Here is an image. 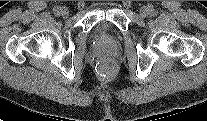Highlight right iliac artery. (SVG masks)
<instances>
[{
    "mask_svg": "<svg viewBox=\"0 0 207 121\" xmlns=\"http://www.w3.org/2000/svg\"><path fill=\"white\" fill-rule=\"evenodd\" d=\"M60 10H61V7H55L54 10H53L54 14L57 15V16L60 15Z\"/></svg>",
    "mask_w": 207,
    "mask_h": 121,
    "instance_id": "right-iliac-artery-1",
    "label": "right iliac artery"
}]
</instances>
